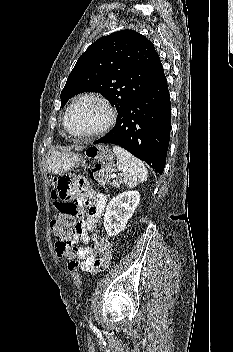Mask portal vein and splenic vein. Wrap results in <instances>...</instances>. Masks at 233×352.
I'll use <instances>...</instances> for the list:
<instances>
[{
  "mask_svg": "<svg viewBox=\"0 0 233 352\" xmlns=\"http://www.w3.org/2000/svg\"><path fill=\"white\" fill-rule=\"evenodd\" d=\"M111 176L113 179H115L117 177V174L113 173Z\"/></svg>",
  "mask_w": 233,
  "mask_h": 352,
  "instance_id": "portal-vein-and-splenic-vein-1",
  "label": "portal vein and splenic vein"
}]
</instances>
